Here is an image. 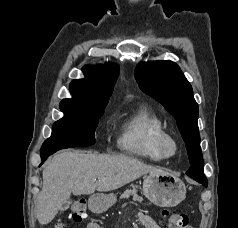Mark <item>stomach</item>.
Masks as SVG:
<instances>
[{"instance_id": "obj_1", "label": "stomach", "mask_w": 238, "mask_h": 228, "mask_svg": "<svg viewBox=\"0 0 238 228\" xmlns=\"http://www.w3.org/2000/svg\"><path fill=\"white\" fill-rule=\"evenodd\" d=\"M143 194L153 204L160 207H174L186 197L184 182L168 171L149 173L143 182ZM117 198L113 193L97 194L89 199V208L94 212H104Z\"/></svg>"}]
</instances>
